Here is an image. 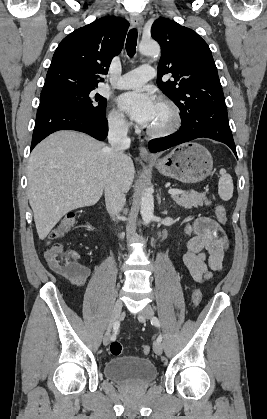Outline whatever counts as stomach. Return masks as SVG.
I'll use <instances>...</instances> for the list:
<instances>
[{
  "instance_id": "obj_1",
  "label": "stomach",
  "mask_w": 267,
  "mask_h": 419,
  "mask_svg": "<svg viewBox=\"0 0 267 419\" xmlns=\"http://www.w3.org/2000/svg\"><path fill=\"white\" fill-rule=\"evenodd\" d=\"M149 163L162 175L188 184L204 180L213 168L210 152L196 142L177 146L164 158Z\"/></svg>"
}]
</instances>
